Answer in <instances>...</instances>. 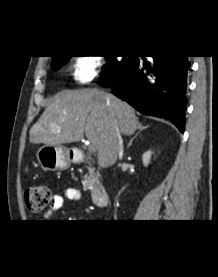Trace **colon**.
Segmentation results:
<instances>
[{"label":"colon","instance_id":"colon-1","mask_svg":"<svg viewBox=\"0 0 218 277\" xmlns=\"http://www.w3.org/2000/svg\"><path fill=\"white\" fill-rule=\"evenodd\" d=\"M50 198V188L45 185L30 186L24 193L27 208L35 213L42 211L49 203Z\"/></svg>","mask_w":218,"mask_h":277}]
</instances>
